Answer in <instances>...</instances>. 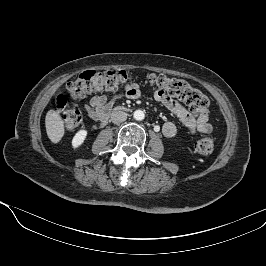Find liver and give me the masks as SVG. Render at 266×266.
Here are the masks:
<instances>
[{
  "mask_svg": "<svg viewBox=\"0 0 266 266\" xmlns=\"http://www.w3.org/2000/svg\"><path fill=\"white\" fill-rule=\"evenodd\" d=\"M45 127L48 138L53 143H58L64 136V121L60 114L55 110H49L45 117Z\"/></svg>",
  "mask_w": 266,
  "mask_h": 266,
  "instance_id": "liver-1",
  "label": "liver"
}]
</instances>
